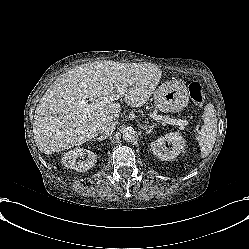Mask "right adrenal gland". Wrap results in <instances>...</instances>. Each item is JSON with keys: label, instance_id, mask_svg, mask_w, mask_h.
<instances>
[{"label": "right adrenal gland", "instance_id": "1", "mask_svg": "<svg viewBox=\"0 0 249 249\" xmlns=\"http://www.w3.org/2000/svg\"><path fill=\"white\" fill-rule=\"evenodd\" d=\"M107 137H108V136H100V137L94 138V140L101 141V140L106 139Z\"/></svg>", "mask_w": 249, "mask_h": 249}]
</instances>
